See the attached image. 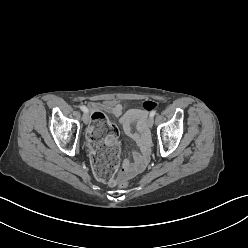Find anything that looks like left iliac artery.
I'll return each instance as SVG.
<instances>
[{
  "mask_svg": "<svg viewBox=\"0 0 248 248\" xmlns=\"http://www.w3.org/2000/svg\"><path fill=\"white\" fill-rule=\"evenodd\" d=\"M155 115H156V111L155 110H153V111L150 112V117L153 118Z\"/></svg>",
  "mask_w": 248,
  "mask_h": 248,
  "instance_id": "obj_1",
  "label": "left iliac artery"
}]
</instances>
